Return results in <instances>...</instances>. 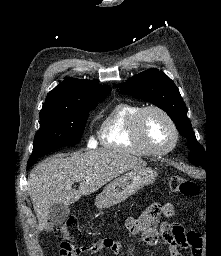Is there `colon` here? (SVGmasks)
Returning a JSON list of instances; mask_svg holds the SVG:
<instances>
[{
    "label": "colon",
    "instance_id": "colon-1",
    "mask_svg": "<svg viewBox=\"0 0 221 256\" xmlns=\"http://www.w3.org/2000/svg\"><path fill=\"white\" fill-rule=\"evenodd\" d=\"M168 185L172 192L178 194L193 196L198 192V186L195 182L180 176H172ZM54 234L56 239L61 242V253L69 256L79 254L77 242L81 238V230L76 217H69L55 229ZM186 243L191 248L193 256H201L203 243L199 234L189 233L186 236Z\"/></svg>",
    "mask_w": 221,
    "mask_h": 256
}]
</instances>
